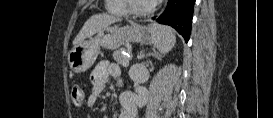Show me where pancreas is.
<instances>
[{"instance_id": "pancreas-1", "label": "pancreas", "mask_w": 273, "mask_h": 118, "mask_svg": "<svg viewBox=\"0 0 273 118\" xmlns=\"http://www.w3.org/2000/svg\"><path fill=\"white\" fill-rule=\"evenodd\" d=\"M123 51L130 53L131 50L128 48H120L114 51L113 58L117 62V64L122 65L123 67H127L129 65L130 58L123 55Z\"/></svg>"}]
</instances>
